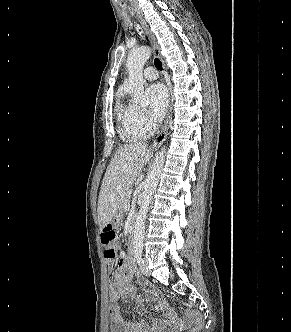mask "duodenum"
<instances>
[{
  "mask_svg": "<svg viewBox=\"0 0 291 332\" xmlns=\"http://www.w3.org/2000/svg\"><path fill=\"white\" fill-rule=\"evenodd\" d=\"M135 225H136V223H135V220H132V222H131V229L133 230V229H135ZM132 245H131V247H130V252H132Z\"/></svg>",
  "mask_w": 291,
  "mask_h": 332,
  "instance_id": "1",
  "label": "duodenum"
}]
</instances>
